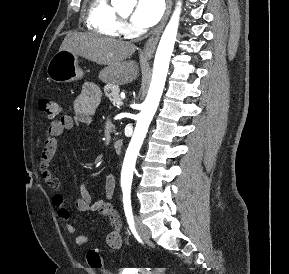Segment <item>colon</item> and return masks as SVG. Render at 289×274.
<instances>
[{
	"mask_svg": "<svg viewBox=\"0 0 289 274\" xmlns=\"http://www.w3.org/2000/svg\"><path fill=\"white\" fill-rule=\"evenodd\" d=\"M40 109L47 115L48 118L54 119L61 113V104L53 100L51 98H41L39 101ZM87 261L91 268L102 270L104 269V261L101 257V255L95 251L91 250L87 253ZM136 269L133 270H127L125 272L130 273H136ZM104 274H110L108 272H105Z\"/></svg>",
	"mask_w": 289,
	"mask_h": 274,
	"instance_id": "obj_1",
	"label": "colon"
}]
</instances>
